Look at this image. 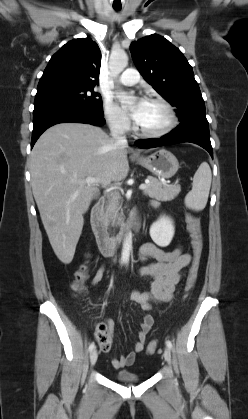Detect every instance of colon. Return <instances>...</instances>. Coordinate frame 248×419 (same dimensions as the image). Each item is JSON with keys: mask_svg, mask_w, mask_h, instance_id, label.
<instances>
[{"mask_svg": "<svg viewBox=\"0 0 248 419\" xmlns=\"http://www.w3.org/2000/svg\"><path fill=\"white\" fill-rule=\"evenodd\" d=\"M187 230L192 240L193 249V260L191 262L188 276L185 282V296H187L195 287L200 260L203 252V235L199 218L187 213L186 214ZM88 278V267L82 265L75 273L74 280L72 282V289L77 295H81L84 292V284ZM112 337L111 329L106 325L100 324L97 326L95 331V339L98 344L107 343ZM158 341H151L147 346V352L154 354L158 350Z\"/></svg>", "mask_w": 248, "mask_h": 419, "instance_id": "5ec220e1", "label": "colon"}]
</instances>
